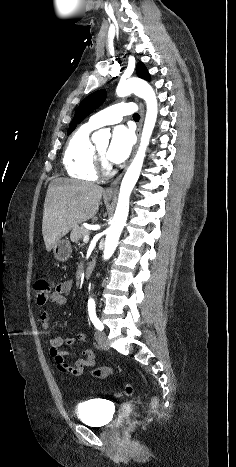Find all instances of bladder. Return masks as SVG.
<instances>
[{"label": "bladder", "instance_id": "1", "mask_svg": "<svg viewBox=\"0 0 236 467\" xmlns=\"http://www.w3.org/2000/svg\"><path fill=\"white\" fill-rule=\"evenodd\" d=\"M113 405L103 399H90L76 407V417L91 426H106L109 424L108 412Z\"/></svg>", "mask_w": 236, "mask_h": 467}]
</instances>
